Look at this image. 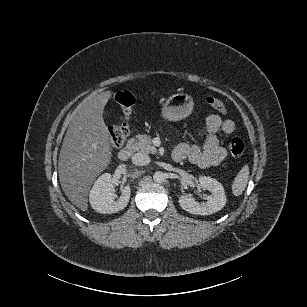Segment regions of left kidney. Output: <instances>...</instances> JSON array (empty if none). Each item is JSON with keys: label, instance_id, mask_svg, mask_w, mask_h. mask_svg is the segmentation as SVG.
<instances>
[{"label": "left kidney", "instance_id": "obj_1", "mask_svg": "<svg viewBox=\"0 0 307 307\" xmlns=\"http://www.w3.org/2000/svg\"><path fill=\"white\" fill-rule=\"evenodd\" d=\"M200 185L203 189L209 190L212 195L207 197L206 203H199L189 195H182L179 204L183 210L195 215H209L221 210L226 204L224 188L216 179L201 176Z\"/></svg>", "mask_w": 307, "mask_h": 307}]
</instances>
